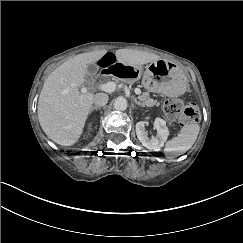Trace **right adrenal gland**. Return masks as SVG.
Instances as JSON below:
<instances>
[{"label":"right adrenal gland","instance_id":"2a0ac1e0","mask_svg":"<svg viewBox=\"0 0 243 243\" xmlns=\"http://www.w3.org/2000/svg\"><path fill=\"white\" fill-rule=\"evenodd\" d=\"M98 110H100V107H97V106L93 107V108L90 110L89 115H91L94 111H98Z\"/></svg>","mask_w":243,"mask_h":243}]
</instances>
